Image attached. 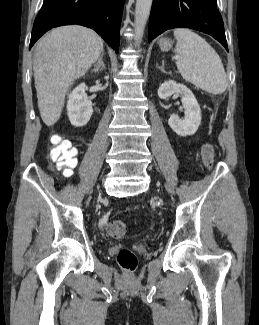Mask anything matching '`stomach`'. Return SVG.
<instances>
[{
	"label": "stomach",
	"mask_w": 259,
	"mask_h": 325,
	"mask_svg": "<svg viewBox=\"0 0 259 325\" xmlns=\"http://www.w3.org/2000/svg\"><path fill=\"white\" fill-rule=\"evenodd\" d=\"M159 47L163 50V51H168L171 47H172V40L169 38H161L158 41Z\"/></svg>",
	"instance_id": "1"
}]
</instances>
